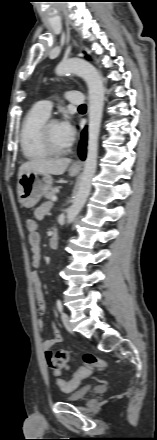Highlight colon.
Instances as JSON below:
<instances>
[{"label":"colon","mask_w":157,"mask_h":440,"mask_svg":"<svg viewBox=\"0 0 157 440\" xmlns=\"http://www.w3.org/2000/svg\"><path fill=\"white\" fill-rule=\"evenodd\" d=\"M26 228L29 234H34L38 232L37 222L29 218L26 221ZM59 354V350L55 353ZM84 366L81 367L73 376V378L69 381H65L61 378L57 379V384L61 390L69 392L77 388L80 382L87 377L93 370H103L106 367V363L98 358L97 356L86 353L83 356Z\"/></svg>","instance_id":"obj_1"}]
</instances>
